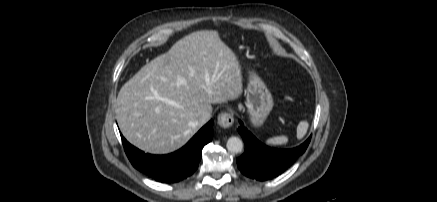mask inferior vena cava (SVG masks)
<instances>
[{
	"label": "inferior vena cava",
	"mask_w": 437,
	"mask_h": 202,
	"mask_svg": "<svg viewBox=\"0 0 437 202\" xmlns=\"http://www.w3.org/2000/svg\"><path fill=\"white\" fill-rule=\"evenodd\" d=\"M211 118V114L209 112H203L200 117V123L205 124Z\"/></svg>",
	"instance_id": "1"
}]
</instances>
